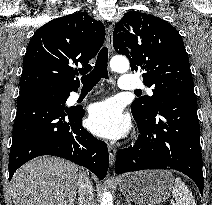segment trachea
<instances>
[{"instance_id":"3493384b","label":"trachea","mask_w":212,"mask_h":205,"mask_svg":"<svg viewBox=\"0 0 212 205\" xmlns=\"http://www.w3.org/2000/svg\"><path fill=\"white\" fill-rule=\"evenodd\" d=\"M101 78L108 79V49L106 47L100 50L94 69L90 74L81 77V82L84 88L92 89ZM135 93H140V91H135Z\"/></svg>"}]
</instances>
